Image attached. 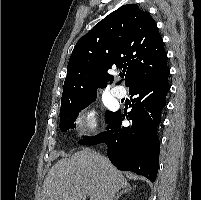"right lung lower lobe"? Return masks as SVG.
Here are the masks:
<instances>
[{"instance_id": "98d812e1", "label": "right lung lower lobe", "mask_w": 201, "mask_h": 200, "mask_svg": "<svg viewBox=\"0 0 201 200\" xmlns=\"http://www.w3.org/2000/svg\"><path fill=\"white\" fill-rule=\"evenodd\" d=\"M168 67L155 76L138 81L129 88L132 108L126 119L129 127H123L125 115L114 112L108 119L107 130L92 137H83L79 144L95 145L102 142L108 146L107 155L119 170L132 171L154 182L159 166V139L157 127L161 111L166 105L169 91Z\"/></svg>"}]
</instances>
